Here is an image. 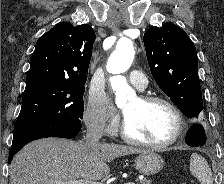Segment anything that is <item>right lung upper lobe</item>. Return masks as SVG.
I'll list each match as a JSON object with an SVG mask.
<instances>
[{
    "instance_id": "obj_1",
    "label": "right lung upper lobe",
    "mask_w": 224,
    "mask_h": 184,
    "mask_svg": "<svg viewBox=\"0 0 224 184\" xmlns=\"http://www.w3.org/2000/svg\"><path fill=\"white\" fill-rule=\"evenodd\" d=\"M94 42L91 26L58 23L38 39L26 83L86 82Z\"/></svg>"
}]
</instances>
